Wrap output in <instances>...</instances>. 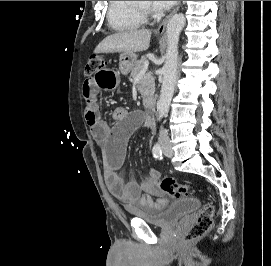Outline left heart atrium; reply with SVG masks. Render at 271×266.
Wrapping results in <instances>:
<instances>
[{
  "mask_svg": "<svg viewBox=\"0 0 271 266\" xmlns=\"http://www.w3.org/2000/svg\"><path fill=\"white\" fill-rule=\"evenodd\" d=\"M175 2L176 1H152V7L158 10L168 9L174 5Z\"/></svg>",
  "mask_w": 271,
  "mask_h": 266,
  "instance_id": "left-heart-atrium-1",
  "label": "left heart atrium"
}]
</instances>
